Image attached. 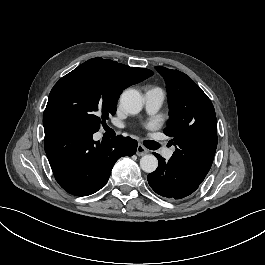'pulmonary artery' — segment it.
I'll return each mask as SVG.
<instances>
[{
  "label": "pulmonary artery",
  "mask_w": 265,
  "mask_h": 265,
  "mask_svg": "<svg viewBox=\"0 0 265 265\" xmlns=\"http://www.w3.org/2000/svg\"><path fill=\"white\" fill-rule=\"evenodd\" d=\"M145 105L150 111H156L158 106L164 104L166 97L161 89L150 88L144 95Z\"/></svg>",
  "instance_id": "1"
}]
</instances>
